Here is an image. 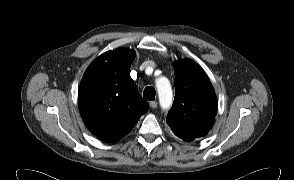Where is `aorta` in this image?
<instances>
[{
    "instance_id": "obj_1",
    "label": "aorta",
    "mask_w": 294,
    "mask_h": 180,
    "mask_svg": "<svg viewBox=\"0 0 294 180\" xmlns=\"http://www.w3.org/2000/svg\"><path fill=\"white\" fill-rule=\"evenodd\" d=\"M156 87L161 107L164 109L169 108L173 100V92L169 80L165 77L158 78L156 80Z\"/></svg>"
}]
</instances>
